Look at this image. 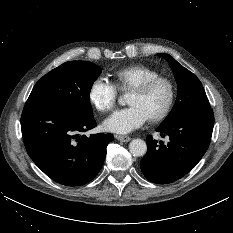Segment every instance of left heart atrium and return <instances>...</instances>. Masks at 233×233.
<instances>
[{"label": "left heart atrium", "mask_w": 233, "mask_h": 233, "mask_svg": "<svg viewBox=\"0 0 233 233\" xmlns=\"http://www.w3.org/2000/svg\"><path fill=\"white\" fill-rule=\"evenodd\" d=\"M147 120V115L138 106L132 105L115 111L104 121V127L110 132L126 134L141 127Z\"/></svg>", "instance_id": "obj_1"}]
</instances>
